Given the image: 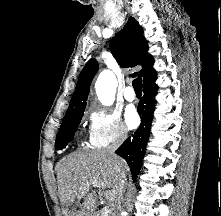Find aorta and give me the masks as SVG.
<instances>
[{"mask_svg": "<svg viewBox=\"0 0 221 216\" xmlns=\"http://www.w3.org/2000/svg\"><path fill=\"white\" fill-rule=\"evenodd\" d=\"M116 87L117 80L114 74L109 70L102 71L95 83V89L98 99L103 105L110 106L113 104Z\"/></svg>", "mask_w": 221, "mask_h": 216, "instance_id": "aorta-1", "label": "aorta"}]
</instances>
